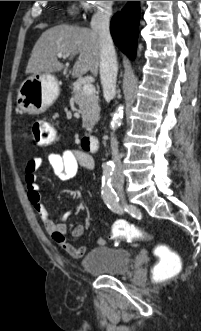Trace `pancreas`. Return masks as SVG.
Returning a JSON list of instances; mask_svg holds the SVG:
<instances>
[{"instance_id": "pancreas-1", "label": "pancreas", "mask_w": 201, "mask_h": 331, "mask_svg": "<svg viewBox=\"0 0 201 331\" xmlns=\"http://www.w3.org/2000/svg\"><path fill=\"white\" fill-rule=\"evenodd\" d=\"M72 103L79 106L83 119V127L92 131L100 118L99 97L96 94H86L83 88L76 89Z\"/></svg>"}]
</instances>
